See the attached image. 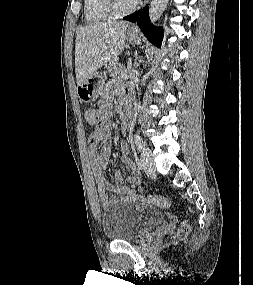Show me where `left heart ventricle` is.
<instances>
[{
	"label": "left heart ventricle",
	"instance_id": "b2bd125f",
	"mask_svg": "<svg viewBox=\"0 0 253 285\" xmlns=\"http://www.w3.org/2000/svg\"><path fill=\"white\" fill-rule=\"evenodd\" d=\"M135 2L136 0H117V3L121 8H128L132 6Z\"/></svg>",
	"mask_w": 253,
	"mask_h": 285
}]
</instances>
